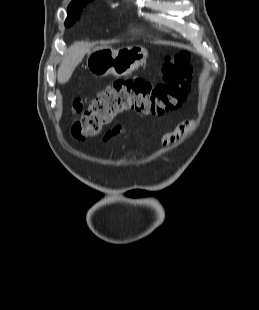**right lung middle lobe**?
Returning a JSON list of instances; mask_svg holds the SVG:
<instances>
[{
    "label": "right lung middle lobe",
    "mask_w": 259,
    "mask_h": 310,
    "mask_svg": "<svg viewBox=\"0 0 259 310\" xmlns=\"http://www.w3.org/2000/svg\"><path fill=\"white\" fill-rule=\"evenodd\" d=\"M88 2H90V1L83 2L73 9H67L68 16H67V19L65 21V25L67 27L73 25V23H75L80 18V15L82 13V9Z\"/></svg>",
    "instance_id": "obj_1"
}]
</instances>
